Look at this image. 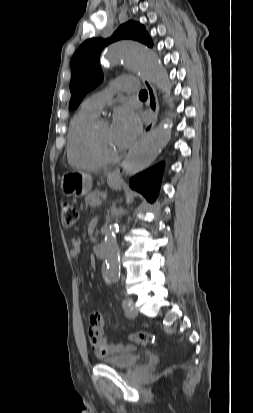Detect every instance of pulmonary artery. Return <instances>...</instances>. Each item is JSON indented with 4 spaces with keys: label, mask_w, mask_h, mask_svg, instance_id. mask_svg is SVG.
<instances>
[{
    "label": "pulmonary artery",
    "mask_w": 253,
    "mask_h": 413,
    "mask_svg": "<svg viewBox=\"0 0 253 413\" xmlns=\"http://www.w3.org/2000/svg\"><path fill=\"white\" fill-rule=\"evenodd\" d=\"M114 90H122V91H135L137 90V86H128V85H122L118 82L112 83L111 87L106 89L105 91L96 93L89 98H87L82 106L96 114H98L101 109L103 108L104 104L108 101V99L111 97L112 92Z\"/></svg>",
    "instance_id": "e3ab8cb5"
}]
</instances>
